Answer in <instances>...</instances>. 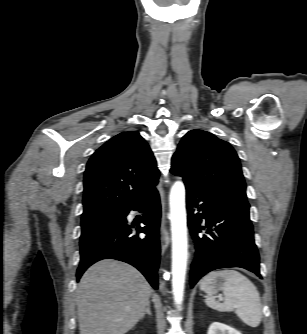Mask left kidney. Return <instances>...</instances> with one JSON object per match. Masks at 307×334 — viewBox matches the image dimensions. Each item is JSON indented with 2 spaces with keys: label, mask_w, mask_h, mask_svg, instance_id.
<instances>
[{
  "label": "left kidney",
  "mask_w": 307,
  "mask_h": 334,
  "mask_svg": "<svg viewBox=\"0 0 307 334\" xmlns=\"http://www.w3.org/2000/svg\"><path fill=\"white\" fill-rule=\"evenodd\" d=\"M207 334H242V333L223 323L214 322L209 326Z\"/></svg>",
  "instance_id": "1"
}]
</instances>
